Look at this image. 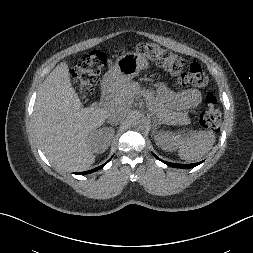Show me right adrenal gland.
Returning a JSON list of instances; mask_svg holds the SVG:
<instances>
[{"mask_svg": "<svg viewBox=\"0 0 253 253\" xmlns=\"http://www.w3.org/2000/svg\"><path fill=\"white\" fill-rule=\"evenodd\" d=\"M108 123H109V122H108ZM110 124H111V123H110ZM111 125H115V126H116L117 124H111Z\"/></svg>", "mask_w": 253, "mask_h": 253, "instance_id": "right-adrenal-gland-1", "label": "right adrenal gland"}]
</instances>
